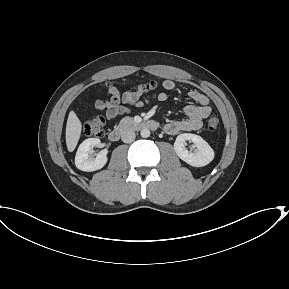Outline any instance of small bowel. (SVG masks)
Here are the masks:
<instances>
[{
  "label": "small bowel",
  "instance_id": "obj_1",
  "mask_svg": "<svg viewBox=\"0 0 289 289\" xmlns=\"http://www.w3.org/2000/svg\"><path fill=\"white\" fill-rule=\"evenodd\" d=\"M141 86L139 85L136 91H127L123 94H120L114 87H110L108 89L109 97L96 100L95 107L105 111L109 120L127 114L131 107H141L145 104V101L141 99ZM162 86L164 91L159 94L158 99L163 102L168 98L167 91L174 90L176 83L173 80H165ZM189 98L193 103L184 107L185 118L170 121L164 125L167 134L175 135L179 132L196 131L202 127L203 120L210 115L211 107L205 94L193 90L189 93Z\"/></svg>",
  "mask_w": 289,
  "mask_h": 289
}]
</instances>
